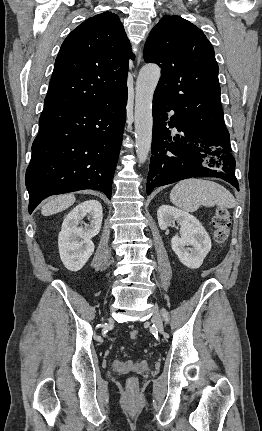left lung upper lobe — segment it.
<instances>
[{
    "mask_svg": "<svg viewBox=\"0 0 262 431\" xmlns=\"http://www.w3.org/2000/svg\"><path fill=\"white\" fill-rule=\"evenodd\" d=\"M145 62L161 67L155 91L195 130L215 135L224 124L214 49L204 33L179 16H164L144 47Z\"/></svg>",
    "mask_w": 262,
    "mask_h": 431,
    "instance_id": "obj_1",
    "label": "left lung upper lobe"
}]
</instances>
